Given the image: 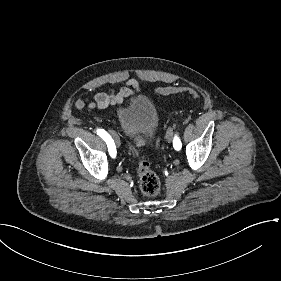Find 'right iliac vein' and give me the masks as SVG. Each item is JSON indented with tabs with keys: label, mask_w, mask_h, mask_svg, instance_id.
Wrapping results in <instances>:
<instances>
[{
	"label": "right iliac vein",
	"mask_w": 281,
	"mask_h": 281,
	"mask_svg": "<svg viewBox=\"0 0 281 281\" xmlns=\"http://www.w3.org/2000/svg\"><path fill=\"white\" fill-rule=\"evenodd\" d=\"M111 135L114 139V142H115L116 146L119 147L120 146V139H119L118 135L113 131L111 132Z\"/></svg>",
	"instance_id": "right-iliac-vein-1"
}]
</instances>
